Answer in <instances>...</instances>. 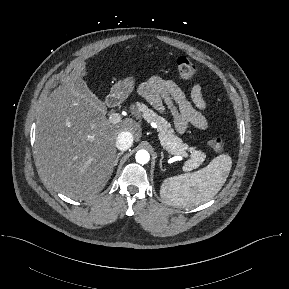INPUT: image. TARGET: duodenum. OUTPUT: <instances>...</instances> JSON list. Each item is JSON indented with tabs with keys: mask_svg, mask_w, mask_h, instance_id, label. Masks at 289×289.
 I'll list each match as a JSON object with an SVG mask.
<instances>
[{
	"mask_svg": "<svg viewBox=\"0 0 289 289\" xmlns=\"http://www.w3.org/2000/svg\"><path fill=\"white\" fill-rule=\"evenodd\" d=\"M120 99L116 95H111L107 100V105L109 108H115L119 105Z\"/></svg>",
	"mask_w": 289,
	"mask_h": 289,
	"instance_id": "1",
	"label": "duodenum"
}]
</instances>
